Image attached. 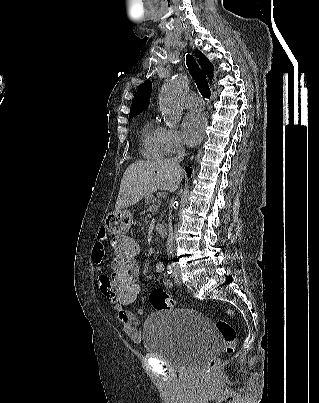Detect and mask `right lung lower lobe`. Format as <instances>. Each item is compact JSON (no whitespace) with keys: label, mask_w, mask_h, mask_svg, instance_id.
Returning a JSON list of instances; mask_svg holds the SVG:
<instances>
[{"label":"right lung lower lobe","mask_w":319,"mask_h":403,"mask_svg":"<svg viewBox=\"0 0 319 403\" xmlns=\"http://www.w3.org/2000/svg\"><path fill=\"white\" fill-rule=\"evenodd\" d=\"M186 172L188 174V177H190L191 173H192V170L190 168L186 167Z\"/></svg>","instance_id":"1"}]
</instances>
